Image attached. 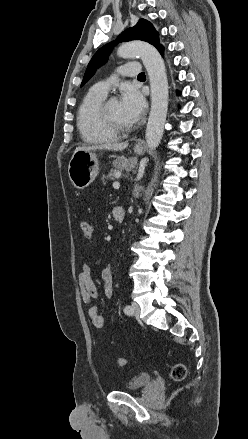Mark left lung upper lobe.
I'll use <instances>...</instances> for the list:
<instances>
[{
	"label": "left lung upper lobe",
	"mask_w": 248,
	"mask_h": 439,
	"mask_svg": "<svg viewBox=\"0 0 248 439\" xmlns=\"http://www.w3.org/2000/svg\"><path fill=\"white\" fill-rule=\"evenodd\" d=\"M130 40H142L148 42L156 47L158 51L163 48L162 45L159 44V35L153 25L145 19H140L134 27L129 28L120 34L115 43L111 42L106 44L95 53L87 66L81 86L94 75L98 67L105 63L114 44Z\"/></svg>",
	"instance_id": "5c2ea615"
}]
</instances>
